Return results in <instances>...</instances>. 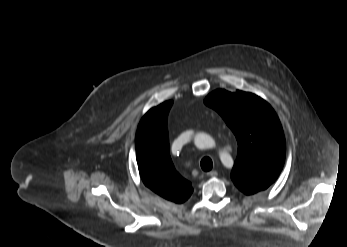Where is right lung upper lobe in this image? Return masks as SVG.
<instances>
[{
	"instance_id": "right-lung-upper-lobe-1",
	"label": "right lung upper lobe",
	"mask_w": 347,
	"mask_h": 247,
	"mask_svg": "<svg viewBox=\"0 0 347 247\" xmlns=\"http://www.w3.org/2000/svg\"><path fill=\"white\" fill-rule=\"evenodd\" d=\"M172 101L150 109L136 135V158L144 184L163 198L183 203L192 194L191 183L174 168L169 154L167 116Z\"/></svg>"
}]
</instances>
